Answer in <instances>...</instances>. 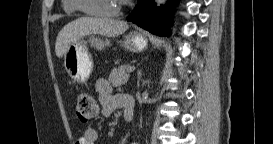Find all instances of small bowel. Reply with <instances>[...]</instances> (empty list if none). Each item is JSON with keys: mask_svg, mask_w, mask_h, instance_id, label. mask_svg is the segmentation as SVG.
I'll return each instance as SVG.
<instances>
[{"mask_svg": "<svg viewBox=\"0 0 273 144\" xmlns=\"http://www.w3.org/2000/svg\"><path fill=\"white\" fill-rule=\"evenodd\" d=\"M96 92L102 105V114L106 117L111 116L114 112L122 109L119 104V95H114L112 86L106 79H99L96 82ZM123 110V109H122ZM98 139V132L94 128H86L81 137L75 144H95Z\"/></svg>", "mask_w": 273, "mask_h": 144, "instance_id": "1", "label": "small bowel"}]
</instances>
